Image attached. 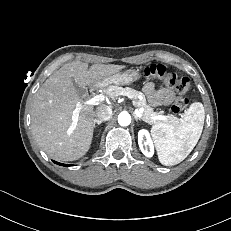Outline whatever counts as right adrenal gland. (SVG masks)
<instances>
[{
    "instance_id": "1",
    "label": "right adrenal gland",
    "mask_w": 231,
    "mask_h": 231,
    "mask_svg": "<svg viewBox=\"0 0 231 231\" xmlns=\"http://www.w3.org/2000/svg\"><path fill=\"white\" fill-rule=\"evenodd\" d=\"M101 123H102V122H99V121L95 120V122H94V128H96L97 125H100Z\"/></svg>"
}]
</instances>
